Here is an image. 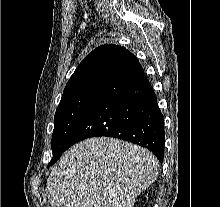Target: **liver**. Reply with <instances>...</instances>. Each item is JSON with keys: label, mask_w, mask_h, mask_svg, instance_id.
<instances>
[{"label": "liver", "mask_w": 220, "mask_h": 207, "mask_svg": "<svg viewBox=\"0 0 220 207\" xmlns=\"http://www.w3.org/2000/svg\"><path fill=\"white\" fill-rule=\"evenodd\" d=\"M159 161L123 140L86 139L63 154L47 179L53 207H133L157 178Z\"/></svg>", "instance_id": "liver-1"}]
</instances>
